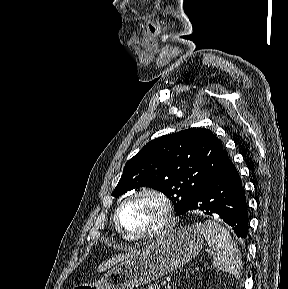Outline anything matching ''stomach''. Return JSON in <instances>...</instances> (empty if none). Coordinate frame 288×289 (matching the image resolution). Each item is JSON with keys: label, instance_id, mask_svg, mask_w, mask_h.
<instances>
[{"label": "stomach", "instance_id": "0dacf381", "mask_svg": "<svg viewBox=\"0 0 288 289\" xmlns=\"http://www.w3.org/2000/svg\"><path fill=\"white\" fill-rule=\"evenodd\" d=\"M203 238L193 226H182L157 237L137 254L96 282L74 289H134L150 283L192 260L202 249Z\"/></svg>", "mask_w": 288, "mask_h": 289}]
</instances>
